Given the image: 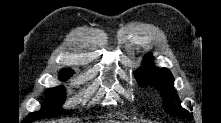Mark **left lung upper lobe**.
Returning <instances> with one entry per match:
<instances>
[{"instance_id":"obj_1","label":"left lung upper lobe","mask_w":221,"mask_h":123,"mask_svg":"<svg viewBox=\"0 0 221 123\" xmlns=\"http://www.w3.org/2000/svg\"><path fill=\"white\" fill-rule=\"evenodd\" d=\"M153 57L148 55L143 60V66L135 71V77L144 87L150 85L161 91L163 98V107L171 116L190 118L191 115L180 106L178 95L174 88V78L171 72L166 68H157L153 66Z\"/></svg>"}]
</instances>
